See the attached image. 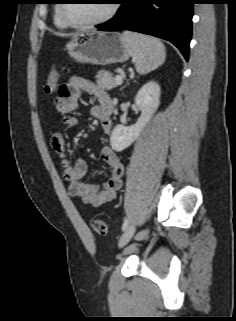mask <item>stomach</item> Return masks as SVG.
Here are the masks:
<instances>
[{"mask_svg":"<svg viewBox=\"0 0 236 321\" xmlns=\"http://www.w3.org/2000/svg\"><path fill=\"white\" fill-rule=\"evenodd\" d=\"M67 52L80 63L107 65L122 63L130 52L117 32H84L75 35L66 46Z\"/></svg>","mask_w":236,"mask_h":321,"instance_id":"1","label":"stomach"}]
</instances>
